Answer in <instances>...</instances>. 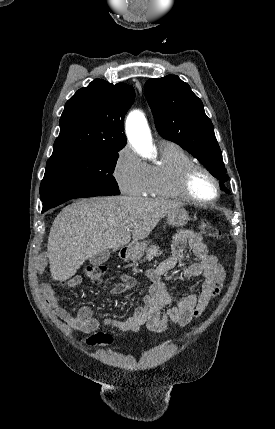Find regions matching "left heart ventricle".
<instances>
[{
	"label": "left heart ventricle",
	"instance_id": "b2bd125f",
	"mask_svg": "<svg viewBox=\"0 0 275 429\" xmlns=\"http://www.w3.org/2000/svg\"><path fill=\"white\" fill-rule=\"evenodd\" d=\"M192 191L199 199H211L216 194L214 182L203 172H198L192 180Z\"/></svg>",
	"mask_w": 275,
	"mask_h": 429
}]
</instances>
